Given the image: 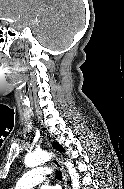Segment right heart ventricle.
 <instances>
[{"label": "right heart ventricle", "mask_w": 124, "mask_h": 189, "mask_svg": "<svg viewBox=\"0 0 124 189\" xmlns=\"http://www.w3.org/2000/svg\"><path fill=\"white\" fill-rule=\"evenodd\" d=\"M11 189H17L16 187H14V188H11Z\"/></svg>", "instance_id": "obj_1"}]
</instances>
